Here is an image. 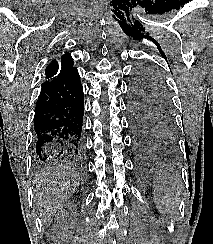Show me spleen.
I'll list each match as a JSON object with an SVG mask.
<instances>
[{
  "label": "spleen",
  "mask_w": 213,
  "mask_h": 244,
  "mask_svg": "<svg viewBox=\"0 0 213 244\" xmlns=\"http://www.w3.org/2000/svg\"><path fill=\"white\" fill-rule=\"evenodd\" d=\"M162 197H157L155 202L159 211L166 216H172L173 205H177V181L169 174L159 182Z\"/></svg>",
  "instance_id": "obj_1"
}]
</instances>
